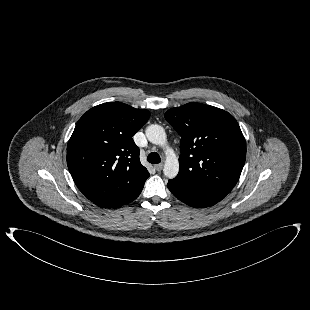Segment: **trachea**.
<instances>
[{"instance_id":"1","label":"trachea","mask_w":310,"mask_h":310,"mask_svg":"<svg viewBox=\"0 0 310 310\" xmlns=\"http://www.w3.org/2000/svg\"><path fill=\"white\" fill-rule=\"evenodd\" d=\"M147 161L152 163V164H158L161 162V158L159 156L158 153L156 152H151L148 157H147Z\"/></svg>"}]
</instances>
